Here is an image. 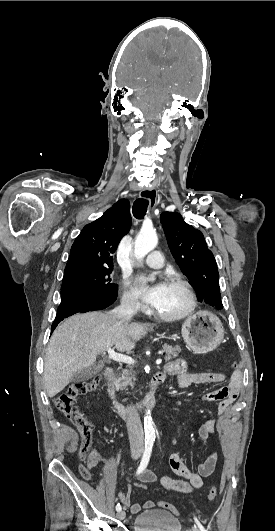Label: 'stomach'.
<instances>
[{"label":"stomach","instance_id":"1","mask_svg":"<svg viewBox=\"0 0 275 531\" xmlns=\"http://www.w3.org/2000/svg\"><path fill=\"white\" fill-rule=\"evenodd\" d=\"M181 333L187 347L196 353H210L224 339L221 321L209 311H198L188 317L182 325Z\"/></svg>","mask_w":275,"mask_h":531}]
</instances>
